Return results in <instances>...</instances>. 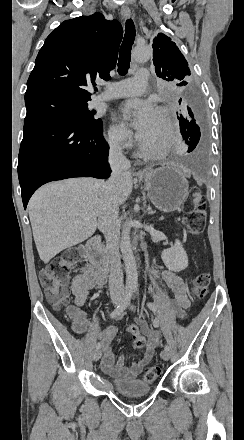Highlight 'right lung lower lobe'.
<instances>
[{"mask_svg": "<svg viewBox=\"0 0 244 440\" xmlns=\"http://www.w3.org/2000/svg\"><path fill=\"white\" fill-rule=\"evenodd\" d=\"M102 128V120L83 126L49 113L26 114L17 167L25 209L32 194L47 182L109 177V147Z\"/></svg>", "mask_w": 244, "mask_h": 440, "instance_id": "right-lung-lower-lobe-1", "label": "right lung lower lobe"}]
</instances>
